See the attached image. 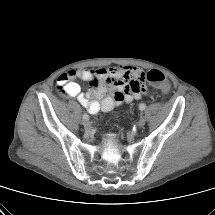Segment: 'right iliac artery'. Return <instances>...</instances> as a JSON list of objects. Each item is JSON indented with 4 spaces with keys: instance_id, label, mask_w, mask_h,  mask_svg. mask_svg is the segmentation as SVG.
Returning <instances> with one entry per match:
<instances>
[{
    "instance_id": "right-iliac-artery-1",
    "label": "right iliac artery",
    "mask_w": 215,
    "mask_h": 215,
    "mask_svg": "<svg viewBox=\"0 0 215 215\" xmlns=\"http://www.w3.org/2000/svg\"><path fill=\"white\" fill-rule=\"evenodd\" d=\"M83 119L84 120H88L89 119V116L87 114H83Z\"/></svg>"
}]
</instances>
